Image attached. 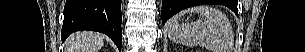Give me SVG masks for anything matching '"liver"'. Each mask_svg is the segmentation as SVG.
Here are the masks:
<instances>
[{
  "label": "liver",
  "instance_id": "6515ba94",
  "mask_svg": "<svg viewBox=\"0 0 305 52\" xmlns=\"http://www.w3.org/2000/svg\"><path fill=\"white\" fill-rule=\"evenodd\" d=\"M104 37L96 32L83 31L73 34L67 41V52H98Z\"/></svg>",
  "mask_w": 305,
  "mask_h": 52
}]
</instances>
